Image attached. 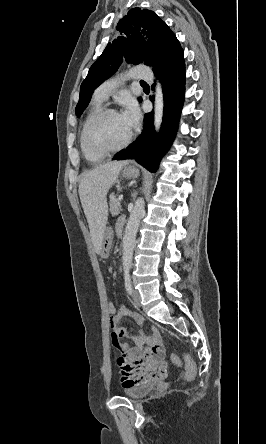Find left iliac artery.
Returning <instances> with one entry per match:
<instances>
[{"instance_id": "obj_1", "label": "left iliac artery", "mask_w": 266, "mask_h": 444, "mask_svg": "<svg viewBox=\"0 0 266 444\" xmlns=\"http://www.w3.org/2000/svg\"><path fill=\"white\" fill-rule=\"evenodd\" d=\"M125 279V288L128 294H132V281H131V276L129 274H125L124 276Z\"/></svg>"}]
</instances>
